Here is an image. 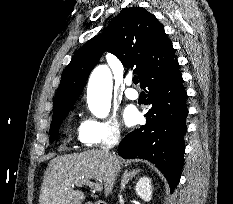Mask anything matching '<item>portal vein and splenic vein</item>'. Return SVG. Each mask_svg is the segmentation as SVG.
<instances>
[{
  "label": "portal vein and splenic vein",
  "mask_w": 233,
  "mask_h": 204,
  "mask_svg": "<svg viewBox=\"0 0 233 204\" xmlns=\"http://www.w3.org/2000/svg\"><path fill=\"white\" fill-rule=\"evenodd\" d=\"M82 185H89L91 188H93L95 191L100 192L103 189L102 184L100 183H92L89 180L86 179H81L80 181L76 182L75 184L72 185L74 186H82Z\"/></svg>",
  "instance_id": "18ae733b"
}]
</instances>
